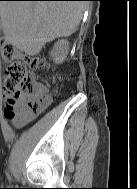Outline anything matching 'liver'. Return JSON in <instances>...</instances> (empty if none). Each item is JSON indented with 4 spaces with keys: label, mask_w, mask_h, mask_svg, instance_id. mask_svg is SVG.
<instances>
[{
    "label": "liver",
    "mask_w": 137,
    "mask_h": 189,
    "mask_svg": "<svg viewBox=\"0 0 137 189\" xmlns=\"http://www.w3.org/2000/svg\"><path fill=\"white\" fill-rule=\"evenodd\" d=\"M2 11L9 8L0 4ZM80 2L13 3L6 15L11 24L5 30L9 41L27 49L53 34L67 33L81 18ZM11 27V28H10Z\"/></svg>",
    "instance_id": "liver-1"
}]
</instances>
